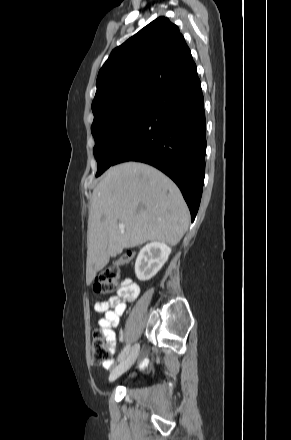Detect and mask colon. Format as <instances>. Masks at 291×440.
I'll use <instances>...</instances> for the list:
<instances>
[{"label": "colon", "mask_w": 291, "mask_h": 440, "mask_svg": "<svg viewBox=\"0 0 291 440\" xmlns=\"http://www.w3.org/2000/svg\"><path fill=\"white\" fill-rule=\"evenodd\" d=\"M124 259L113 262L99 272L95 278L94 292L96 294H109L115 292L119 287L121 277V265ZM91 357L94 363H104L112 358L107 343L102 338V333L96 331L91 346Z\"/></svg>", "instance_id": "obj_1"}]
</instances>
